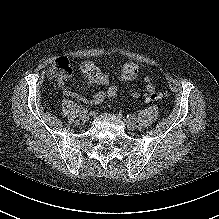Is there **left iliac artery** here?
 <instances>
[{
	"label": "left iliac artery",
	"mask_w": 219,
	"mask_h": 219,
	"mask_svg": "<svg viewBox=\"0 0 219 219\" xmlns=\"http://www.w3.org/2000/svg\"><path fill=\"white\" fill-rule=\"evenodd\" d=\"M127 119H132V120H136L137 118H136V116L135 115H127Z\"/></svg>",
	"instance_id": "obj_1"
}]
</instances>
